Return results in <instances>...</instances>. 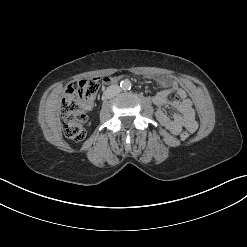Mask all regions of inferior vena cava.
Masks as SVG:
<instances>
[{
	"label": "inferior vena cava",
	"instance_id": "obj_1",
	"mask_svg": "<svg viewBox=\"0 0 247 247\" xmlns=\"http://www.w3.org/2000/svg\"><path fill=\"white\" fill-rule=\"evenodd\" d=\"M121 89L118 85H111L107 87L104 92L106 98H112L120 93Z\"/></svg>",
	"mask_w": 247,
	"mask_h": 247
}]
</instances>
